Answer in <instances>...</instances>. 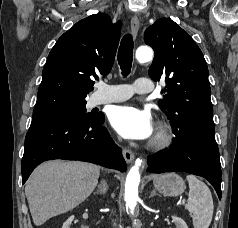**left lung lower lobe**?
<instances>
[{"instance_id":"obj_1","label":"left lung lower lobe","mask_w":238,"mask_h":228,"mask_svg":"<svg viewBox=\"0 0 238 228\" xmlns=\"http://www.w3.org/2000/svg\"><path fill=\"white\" fill-rule=\"evenodd\" d=\"M173 145L148 157L150 173L186 172L207 179L221 199V164L214 131L173 130Z\"/></svg>"}]
</instances>
